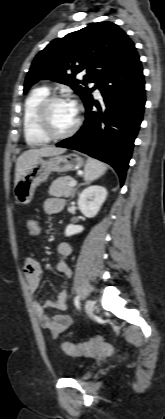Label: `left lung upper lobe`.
<instances>
[{
  "mask_svg": "<svg viewBox=\"0 0 165 419\" xmlns=\"http://www.w3.org/2000/svg\"><path fill=\"white\" fill-rule=\"evenodd\" d=\"M135 50L126 33L111 22H98L54 39L35 57L27 74L24 93L40 79L70 86L84 105L93 100L91 91ZM85 72L83 81L75 75ZM94 82L93 89L80 84Z\"/></svg>",
  "mask_w": 165,
  "mask_h": 419,
  "instance_id": "left-lung-upper-lobe-1",
  "label": "left lung upper lobe"
}]
</instances>
